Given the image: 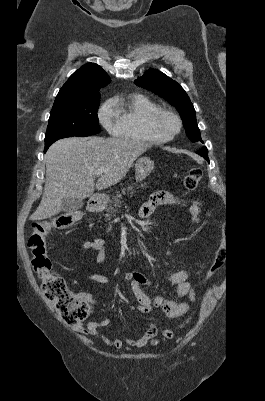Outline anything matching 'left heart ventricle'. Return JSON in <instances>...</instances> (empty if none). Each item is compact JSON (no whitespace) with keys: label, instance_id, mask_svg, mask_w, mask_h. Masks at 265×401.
Here are the masks:
<instances>
[{"label":"left heart ventricle","instance_id":"left-heart-ventricle-1","mask_svg":"<svg viewBox=\"0 0 265 401\" xmlns=\"http://www.w3.org/2000/svg\"><path fill=\"white\" fill-rule=\"evenodd\" d=\"M176 129L177 124L174 120L167 117H161L156 123L155 132L158 138L164 139L170 137Z\"/></svg>","mask_w":265,"mask_h":401}]
</instances>
